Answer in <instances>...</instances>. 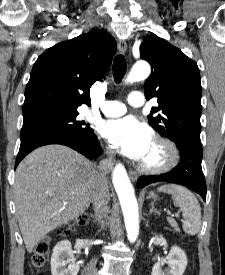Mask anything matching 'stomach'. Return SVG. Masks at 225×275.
Instances as JSON below:
<instances>
[{
    "label": "stomach",
    "mask_w": 225,
    "mask_h": 275,
    "mask_svg": "<svg viewBox=\"0 0 225 275\" xmlns=\"http://www.w3.org/2000/svg\"><path fill=\"white\" fill-rule=\"evenodd\" d=\"M149 197H150V198H155L156 195H155L153 192H151L150 195H149Z\"/></svg>",
    "instance_id": "1"
}]
</instances>
